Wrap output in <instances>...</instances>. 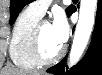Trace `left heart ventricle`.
Here are the masks:
<instances>
[{
    "label": "left heart ventricle",
    "instance_id": "obj_1",
    "mask_svg": "<svg viewBox=\"0 0 102 75\" xmlns=\"http://www.w3.org/2000/svg\"><path fill=\"white\" fill-rule=\"evenodd\" d=\"M40 46L47 58L54 56L62 46L58 43L50 24H45L41 30Z\"/></svg>",
    "mask_w": 102,
    "mask_h": 75
}]
</instances>
